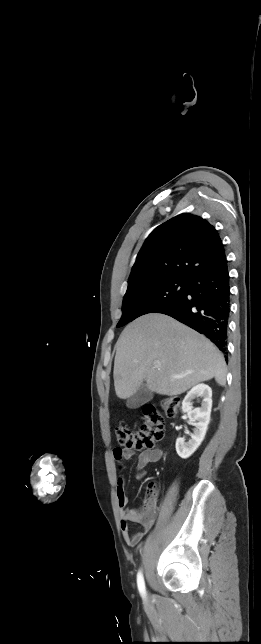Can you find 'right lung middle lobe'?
I'll use <instances>...</instances> for the list:
<instances>
[{
  "instance_id": "obj_1",
  "label": "right lung middle lobe",
  "mask_w": 261,
  "mask_h": 644,
  "mask_svg": "<svg viewBox=\"0 0 261 644\" xmlns=\"http://www.w3.org/2000/svg\"><path fill=\"white\" fill-rule=\"evenodd\" d=\"M186 286L187 279L169 278L127 289L123 298L122 317L117 327L124 326L141 315L172 306L184 296Z\"/></svg>"
}]
</instances>
